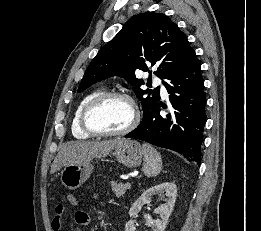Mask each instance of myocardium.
I'll list each match as a JSON object with an SVG mask.
<instances>
[{"label": "myocardium", "instance_id": "myocardium-1", "mask_svg": "<svg viewBox=\"0 0 261 231\" xmlns=\"http://www.w3.org/2000/svg\"><path fill=\"white\" fill-rule=\"evenodd\" d=\"M111 98H122L127 100L133 109V117L130 122V124L123 130L119 131H99L96 130L90 123L89 115L92 112L94 108H96L101 103L105 102L106 100H109ZM140 121V111L139 108L133 99L131 95L125 92L121 91H108V92H102L95 98H93L90 102L86 104L84 107L82 113H81V126L82 129L92 135V136H99V137H112V136H124L132 132Z\"/></svg>", "mask_w": 261, "mask_h": 231}]
</instances>
